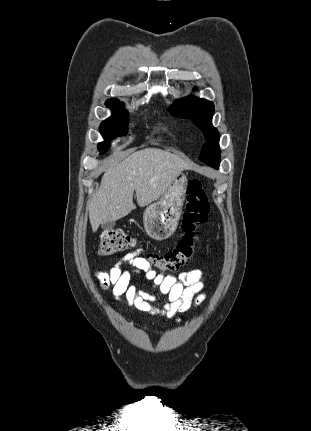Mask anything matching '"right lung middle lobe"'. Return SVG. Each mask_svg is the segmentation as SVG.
Here are the masks:
<instances>
[{"instance_id":"right-lung-middle-lobe-1","label":"right lung middle lobe","mask_w":311,"mask_h":431,"mask_svg":"<svg viewBox=\"0 0 311 431\" xmlns=\"http://www.w3.org/2000/svg\"><path fill=\"white\" fill-rule=\"evenodd\" d=\"M107 107L115 113L100 125V133L105 138L104 142L98 144V149L104 153L109 147V141L117 136L128 124V112L124 109L123 103L112 99L106 102Z\"/></svg>"}]
</instances>
